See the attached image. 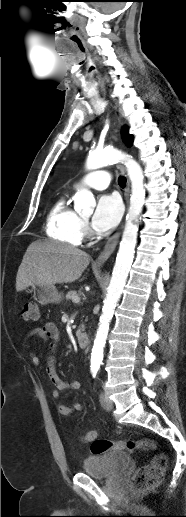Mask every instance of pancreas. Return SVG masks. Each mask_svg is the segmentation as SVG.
Listing matches in <instances>:
<instances>
[{"label": "pancreas", "instance_id": "cf45deb5", "mask_svg": "<svg viewBox=\"0 0 186 517\" xmlns=\"http://www.w3.org/2000/svg\"><path fill=\"white\" fill-rule=\"evenodd\" d=\"M74 298H79V294L76 291H69L66 294V300H73Z\"/></svg>", "mask_w": 186, "mask_h": 517}]
</instances>
